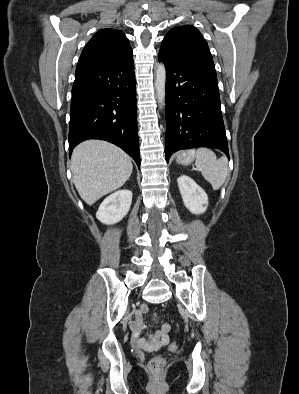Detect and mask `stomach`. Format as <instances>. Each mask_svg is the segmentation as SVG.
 Instances as JSON below:
<instances>
[{
  "mask_svg": "<svg viewBox=\"0 0 299 394\" xmlns=\"http://www.w3.org/2000/svg\"><path fill=\"white\" fill-rule=\"evenodd\" d=\"M194 160V155L192 153H182L177 156L176 161L182 165H188Z\"/></svg>",
  "mask_w": 299,
  "mask_h": 394,
  "instance_id": "0dacf381",
  "label": "stomach"
}]
</instances>
